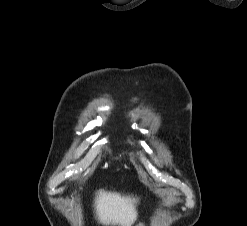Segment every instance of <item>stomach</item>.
Segmentation results:
<instances>
[{
    "instance_id": "1",
    "label": "stomach",
    "mask_w": 247,
    "mask_h": 226,
    "mask_svg": "<svg viewBox=\"0 0 247 226\" xmlns=\"http://www.w3.org/2000/svg\"><path fill=\"white\" fill-rule=\"evenodd\" d=\"M138 226H144V224L143 223H140Z\"/></svg>"
}]
</instances>
